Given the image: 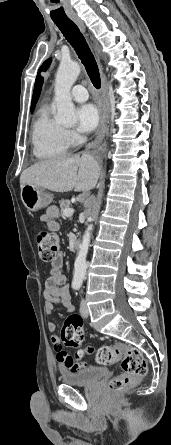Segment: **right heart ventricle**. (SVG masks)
I'll return each mask as SVG.
<instances>
[{
    "label": "right heart ventricle",
    "instance_id": "1",
    "mask_svg": "<svg viewBox=\"0 0 171 445\" xmlns=\"http://www.w3.org/2000/svg\"><path fill=\"white\" fill-rule=\"evenodd\" d=\"M32 143L33 153L40 159L62 156L70 146L67 131L52 118L48 107L39 111L33 124Z\"/></svg>",
    "mask_w": 171,
    "mask_h": 445
}]
</instances>
